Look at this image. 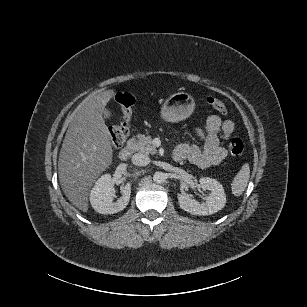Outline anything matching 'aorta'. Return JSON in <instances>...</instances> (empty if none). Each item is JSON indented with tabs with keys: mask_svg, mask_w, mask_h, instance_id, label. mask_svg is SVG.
<instances>
[{
	"mask_svg": "<svg viewBox=\"0 0 307 307\" xmlns=\"http://www.w3.org/2000/svg\"><path fill=\"white\" fill-rule=\"evenodd\" d=\"M166 179V175L162 171H156L153 175V180L157 183H162Z\"/></svg>",
	"mask_w": 307,
	"mask_h": 307,
	"instance_id": "1",
	"label": "aorta"
}]
</instances>
